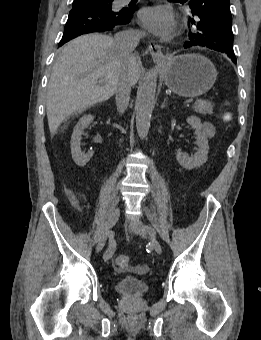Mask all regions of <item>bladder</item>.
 Returning <instances> with one entry per match:
<instances>
[{
	"label": "bladder",
	"mask_w": 261,
	"mask_h": 340,
	"mask_svg": "<svg viewBox=\"0 0 261 340\" xmlns=\"http://www.w3.org/2000/svg\"><path fill=\"white\" fill-rule=\"evenodd\" d=\"M115 290L126 297H138L146 292L147 283L144 279L125 275L118 279Z\"/></svg>",
	"instance_id": "obj_1"
}]
</instances>
